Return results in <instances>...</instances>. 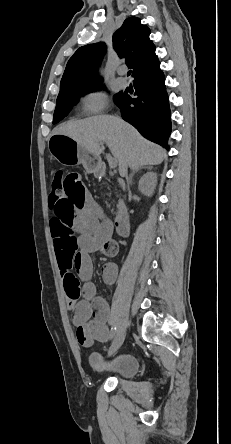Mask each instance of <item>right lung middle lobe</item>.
Returning <instances> with one entry per match:
<instances>
[{
    "label": "right lung middle lobe",
    "mask_w": 231,
    "mask_h": 444,
    "mask_svg": "<svg viewBox=\"0 0 231 444\" xmlns=\"http://www.w3.org/2000/svg\"><path fill=\"white\" fill-rule=\"evenodd\" d=\"M101 87L80 88L72 91L60 93L57 97L56 108L54 112L53 124L61 121L69 112L71 105L75 104L79 95H83L86 92L100 89ZM122 97L121 93L115 96V102Z\"/></svg>",
    "instance_id": "1"
}]
</instances>
